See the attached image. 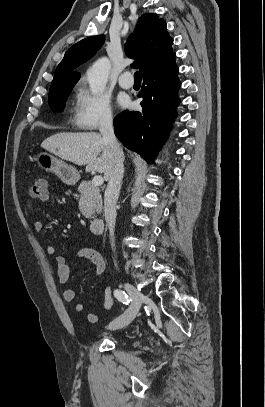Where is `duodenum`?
Masks as SVG:
<instances>
[{
  "mask_svg": "<svg viewBox=\"0 0 265 407\" xmlns=\"http://www.w3.org/2000/svg\"><path fill=\"white\" fill-rule=\"evenodd\" d=\"M105 222L102 218H94L91 220L90 228L93 233L101 234L104 232Z\"/></svg>",
  "mask_w": 265,
  "mask_h": 407,
  "instance_id": "obj_1",
  "label": "duodenum"
}]
</instances>
